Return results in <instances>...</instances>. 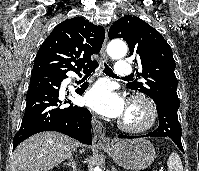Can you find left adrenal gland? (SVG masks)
Returning <instances> with one entry per match:
<instances>
[{
  "label": "left adrenal gland",
  "mask_w": 199,
  "mask_h": 171,
  "mask_svg": "<svg viewBox=\"0 0 199 171\" xmlns=\"http://www.w3.org/2000/svg\"><path fill=\"white\" fill-rule=\"evenodd\" d=\"M111 171H117L116 169H115V167L114 166H112V170Z\"/></svg>",
  "instance_id": "left-adrenal-gland-1"
}]
</instances>
